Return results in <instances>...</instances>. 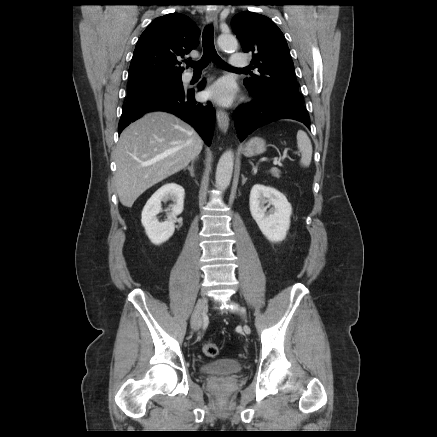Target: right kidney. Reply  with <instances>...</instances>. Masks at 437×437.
Returning <instances> with one entry per match:
<instances>
[{
  "mask_svg": "<svg viewBox=\"0 0 437 437\" xmlns=\"http://www.w3.org/2000/svg\"><path fill=\"white\" fill-rule=\"evenodd\" d=\"M184 188L176 183H168L160 187L147 201L142 211V225L146 235L155 245L166 242L175 231L176 217L184 207ZM171 198L174 202L166 211L167 220L159 222L157 215L162 212L161 201Z\"/></svg>",
  "mask_w": 437,
  "mask_h": 437,
  "instance_id": "ca27d5eb",
  "label": "right kidney"
}]
</instances>
